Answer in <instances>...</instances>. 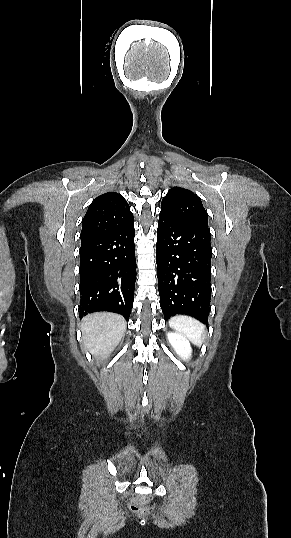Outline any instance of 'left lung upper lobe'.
<instances>
[{"instance_id":"left-lung-upper-lobe-1","label":"left lung upper lobe","mask_w":291,"mask_h":538,"mask_svg":"<svg viewBox=\"0 0 291 538\" xmlns=\"http://www.w3.org/2000/svg\"><path fill=\"white\" fill-rule=\"evenodd\" d=\"M161 213L190 224L208 227V214L201 199L184 188L174 187L168 191L161 203Z\"/></svg>"}]
</instances>
